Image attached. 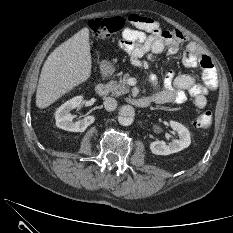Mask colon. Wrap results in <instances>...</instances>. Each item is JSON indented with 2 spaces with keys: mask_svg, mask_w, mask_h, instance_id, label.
Returning a JSON list of instances; mask_svg holds the SVG:
<instances>
[{
  "mask_svg": "<svg viewBox=\"0 0 233 233\" xmlns=\"http://www.w3.org/2000/svg\"><path fill=\"white\" fill-rule=\"evenodd\" d=\"M124 19L122 17L96 18L90 21L89 27L95 39H103L111 37L120 32L124 27ZM212 113L205 111L198 115L192 122L195 129L205 130L212 123Z\"/></svg>",
  "mask_w": 233,
  "mask_h": 233,
  "instance_id": "colon-1",
  "label": "colon"
}]
</instances>
